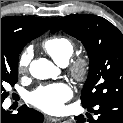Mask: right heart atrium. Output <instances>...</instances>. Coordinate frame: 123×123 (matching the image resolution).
<instances>
[{"label":"right heart atrium","mask_w":123,"mask_h":123,"mask_svg":"<svg viewBox=\"0 0 123 123\" xmlns=\"http://www.w3.org/2000/svg\"><path fill=\"white\" fill-rule=\"evenodd\" d=\"M30 61H31V51L26 50L19 57L17 66L18 72L21 74L27 72Z\"/></svg>","instance_id":"d8ad5b80"}]
</instances>
